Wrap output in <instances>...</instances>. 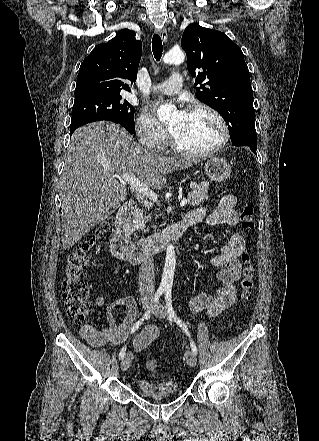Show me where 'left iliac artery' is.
<instances>
[{"label": "left iliac artery", "mask_w": 319, "mask_h": 441, "mask_svg": "<svg viewBox=\"0 0 319 441\" xmlns=\"http://www.w3.org/2000/svg\"><path fill=\"white\" fill-rule=\"evenodd\" d=\"M165 302H166V307H167V311L169 314V317L171 319H173L178 325L179 327L185 332V334L190 338V331L187 327V325L176 315L173 306H172V297H171V290H165ZM190 345H191V350L193 352L194 355H197V347L195 345V343L190 339Z\"/></svg>", "instance_id": "obj_1"}]
</instances>
